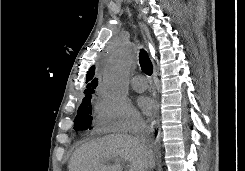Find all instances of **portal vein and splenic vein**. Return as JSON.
Masks as SVG:
<instances>
[{"mask_svg":"<svg viewBox=\"0 0 245 171\" xmlns=\"http://www.w3.org/2000/svg\"><path fill=\"white\" fill-rule=\"evenodd\" d=\"M115 162L117 163V162H119V160H118V159H116V160H115Z\"/></svg>","mask_w":245,"mask_h":171,"instance_id":"18ae733b","label":"portal vein and splenic vein"}]
</instances>
